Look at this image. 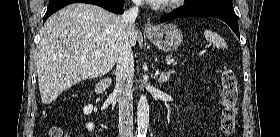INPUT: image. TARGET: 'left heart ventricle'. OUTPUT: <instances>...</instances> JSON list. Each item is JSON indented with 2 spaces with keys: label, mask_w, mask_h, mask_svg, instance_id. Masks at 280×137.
<instances>
[{
  "label": "left heart ventricle",
  "mask_w": 280,
  "mask_h": 137,
  "mask_svg": "<svg viewBox=\"0 0 280 137\" xmlns=\"http://www.w3.org/2000/svg\"><path fill=\"white\" fill-rule=\"evenodd\" d=\"M167 27H170V26H164V28H167Z\"/></svg>",
  "instance_id": "obj_1"
}]
</instances>
